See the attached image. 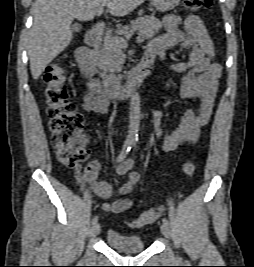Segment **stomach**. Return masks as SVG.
I'll use <instances>...</instances> for the list:
<instances>
[{
    "instance_id": "obj_1",
    "label": "stomach",
    "mask_w": 254,
    "mask_h": 267,
    "mask_svg": "<svg viewBox=\"0 0 254 267\" xmlns=\"http://www.w3.org/2000/svg\"><path fill=\"white\" fill-rule=\"evenodd\" d=\"M180 1L181 0H152V4L158 11L164 12L177 7Z\"/></svg>"
}]
</instances>
